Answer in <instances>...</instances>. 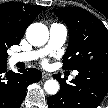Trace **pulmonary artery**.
<instances>
[{
    "label": "pulmonary artery",
    "mask_w": 108,
    "mask_h": 108,
    "mask_svg": "<svg viewBox=\"0 0 108 108\" xmlns=\"http://www.w3.org/2000/svg\"><path fill=\"white\" fill-rule=\"evenodd\" d=\"M67 37V28L63 24L53 23L50 26V37L47 45L36 51H29V52H22L16 53L11 56L10 61L11 63L15 64L18 62H28L35 60L44 54H47L55 49L61 47ZM78 74L77 71L73 72V75L76 76Z\"/></svg>",
    "instance_id": "obj_1"
}]
</instances>
